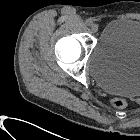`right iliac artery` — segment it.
Segmentation results:
<instances>
[{
	"instance_id": "obj_1",
	"label": "right iliac artery",
	"mask_w": 140,
	"mask_h": 140,
	"mask_svg": "<svg viewBox=\"0 0 140 140\" xmlns=\"http://www.w3.org/2000/svg\"><path fill=\"white\" fill-rule=\"evenodd\" d=\"M86 24H87V25H92V24H93L92 19H87V20H86Z\"/></svg>"
}]
</instances>
